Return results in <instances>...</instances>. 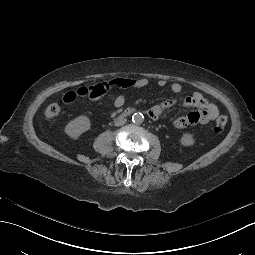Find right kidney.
I'll use <instances>...</instances> for the list:
<instances>
[{
    "mask_svg": "<svg viewBox=\"0 0 255 255\" xmlns=\"http://www.w3.org/2000/svg\"><path fill=\"white\" fill-rule=\"evenodd\" d=\"M91 121L87 116H79L71 120L65 127V134L72 140H77L84 132L90 130Z\"/></svg>",
    "mask_w": 255,
    "mask_h": 255,
    "instance_id": "obj_1",
    "label": "right kidney"
}]
</instances>
